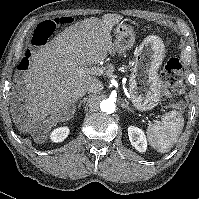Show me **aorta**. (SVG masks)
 <instances>
[{
    "instance_id": "obj_1",
    "label": "aorta",
    "mask_w": 199,
    "mask_h": 199,
    "mask_svg": "<svg viewBox=\"0 0 199 199\" xmlns=\"http://www.w3.org/2000/svg\"><path fill=\"white\" fill-rule=\"evenodd\" d=\"M100 109L103 112L111 114L115 111V103L110 99H105L100 103Z\"/></svg>"
}]
</instances>
